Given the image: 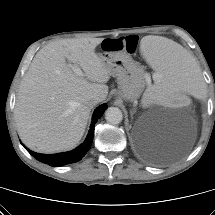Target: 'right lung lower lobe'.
<instances>
[{"label":"right lung lower lobe","mask_w":215,"mask_h":215,"mask_svg":"<svg viewBox=\"0 0 215 215\" xmlns=\"http://www.w3.org/2000/svg\"><path fill=\"white\" fill-rule=\"evenodd\" d=\"M106 108H107V105L103 104L95 110V112L93 114L90 130H89L86 140L79 147H77L76 149H74L72 151L65 152V153H59V154L45 155V154H39V153L33 152V151L29 150L28 148H26L23 144L22 145L38 161L45 163V164H49L50 166H63L66 164L78 162L85 156V154L90 149L92 141H93V137H94V126H95L96 122L98 121V119L102 116V114Z\"/></svg>","instance_id":"1"}]
</instances>
